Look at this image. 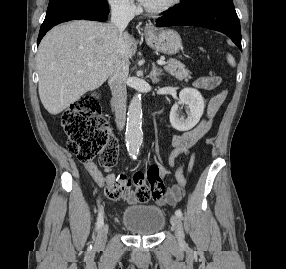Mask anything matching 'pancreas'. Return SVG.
Wrapping results in <instances>:
<instances>
[{"label": "pancreas", "instance_id": "cf45deb5", "mask_svg": "<svg viewBox=\"0 0 286 269\" xmlns=\"http://www.w3.org/2000/svg\"><path fill=\"white\" fill-rule=\"evenodd\" d=\"M164 69L169 72L172 76H175L178 80H188L191 78L190 71L176 59H169Z\"/></svg>", "mask_w": 286, "mask_h": 269}]
</instances>
